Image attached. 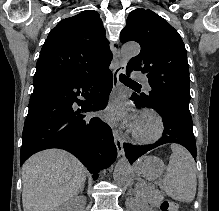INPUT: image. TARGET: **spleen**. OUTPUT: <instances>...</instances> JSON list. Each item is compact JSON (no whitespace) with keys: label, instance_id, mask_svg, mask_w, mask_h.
Instances as JSON below:
<instances>
[{"label":"spleen","instance_id":"spleen-1","mask_svg":"<svg viewBox=\"0 0 219 211\" xmlns=\"http://www.w3.org/2000/svg\"><path fill=\"white\" fill-rule=\"evenodd\" d=\"M172 153L163 179V189L177 201H192L196 193L195 161L186 147L172 143Z\"/></svg>","mask_w":219,"mask_h":211}]
</instances>
